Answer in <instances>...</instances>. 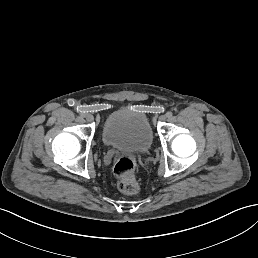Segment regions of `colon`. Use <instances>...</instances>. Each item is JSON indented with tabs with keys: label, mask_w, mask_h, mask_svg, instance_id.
I'll return each instance as SVG.
<instances>
[{
	"label": "colon",
	"mask_w": 258,
	"mask_h": 258,
	"mask_svg": "<svg viewBox=\"0 0 258 258\" xmlns=\"http://www.w3.org/2000/svg\"><path fill=\"white\" fill-rule=\"evenodd\" d=\"M136 163L132 157L115 155L113 158V174L119 190L128 195L139 191V183L135 176Z\"/></svg>",
	"instance_id": "obj_1"
}]
</instances>
